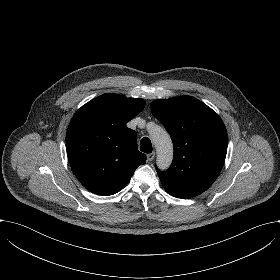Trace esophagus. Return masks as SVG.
Wrapping results in <instances>:
<instances>
[{
    "label": "esophagus",
    "instance_id": "obj_1",
    "mask_svg": "<svg viewBox=\"0 0 280 280\" xmlns=\"http://www.w3.org/2000/svg\"><path fill=\"white\" fill-rule=\"evenodd\" d=\"M154 158H155V152L147 154V159H148L149 162L153 161Z\"/></svg>",
    "mask_w": 280,
    "mask_h": 280
}]
</instances>
